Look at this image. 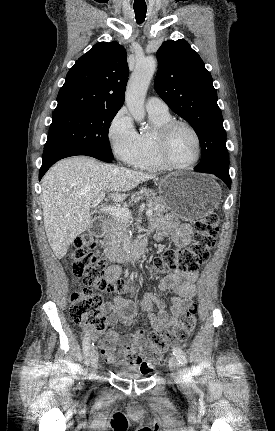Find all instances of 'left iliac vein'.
<instances>
[{"label": "left iliac vein", "mask_w": 275, "mask_h": 431, "mask_svg": "<svg viewBox=\"0 0 275 431\" xmlns=\"http://www.w3.org/2000/svg\"><path fill=\"white\" fill-rule=\"evenodd\" d=\"M169 367L172 371L173 377L175 378V380L179 383L182 384L184 382V373L180 368V365L178 363V360L175 357H171L169 359Z\"/></svg>", "instance_id": "obj_1"}]
</instances>
